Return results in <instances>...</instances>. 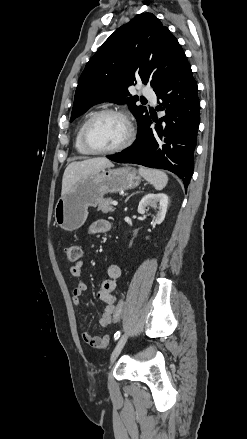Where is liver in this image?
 <instances>
[{
  "label": "liver",
  "instance_id": "1",
  "mask_svg": "<svg viewBox=\"0 0 247 439\" xmlns=\"http://www.w3.org/2000/svg\"><path fill=\"white\" fill-rule=\"evenodd\" d=\"M109 167H113V163L105 157L70 163L63 174L61 195L64 196L79 180Z\"/></svg>",
  "mask_w": 247,
  "mask_h": 439
}]
</instances>
